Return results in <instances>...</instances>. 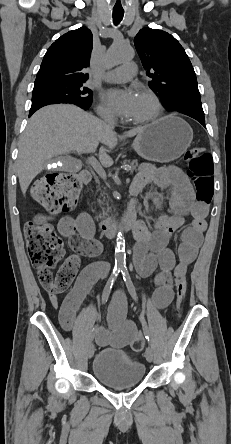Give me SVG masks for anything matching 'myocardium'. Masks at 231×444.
I'll return each instance as SVG.
<instances>
[{"mask_svg":"<svg viewBox=\"0 0 231 444\" xmlns=\"http://www.w3.org/2000/svg\"><path fill=\"white\" fill-rule=\"evenodd\" d=\"M138 94L143 95L151 100V102L153 103V106H154V112L147 117L140 118V119H131V120H129V122L132 124L142 125V124H148V123H151V122L157 120L163 112V106L160 101V98L151 89H148V88L139 89Z\"/></svg>","mask_w":231,"mask_h":444,"instance_id":"f54148a6","label":"myocardium"}]
</instances>
